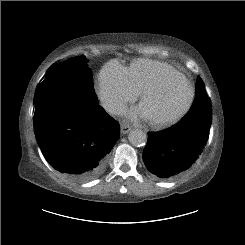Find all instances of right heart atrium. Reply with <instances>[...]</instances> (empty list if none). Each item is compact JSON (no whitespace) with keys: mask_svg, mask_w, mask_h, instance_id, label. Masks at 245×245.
<instances>
[{"mask_svg":"<svg viewBox=\"0 0 245 245\" xmlns=\"http://www.w3.org/2000/svg\"><path fill=\"white\" fill-rule=\"evenodd\" d=\"M96 86L104 106L116 115L122 114L138 97L130 82L127 68L117 61H111L103 67Z\"/></svg>","mask_w":245,"mask_h":245,"instance_id":"d8ad5b80","label":"right heart atrium"}]
</instances>
